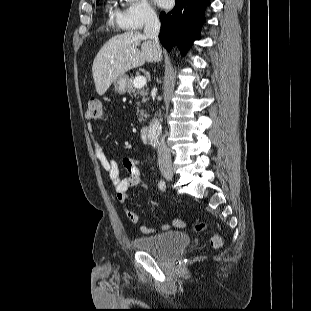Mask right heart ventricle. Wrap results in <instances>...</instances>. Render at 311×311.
Instances as JSON below:
<instances>
[{
  "label": "right heart ventricle",
  "instance_id": "1",
  "mask_svg": "<svg viewBox=\"0 0 311 311\" xmlns=\"http://www.w3.org/2000/svg\"><path fill=\"white\" fill-rule=\"evenodd\" d=\"M107 8H108V9H110V8H111V6H110V5H108V6H107Z\"/></svg>",
  "mask_w": 311,
  "mask_h": 311
}]
</instances>
